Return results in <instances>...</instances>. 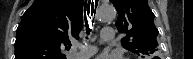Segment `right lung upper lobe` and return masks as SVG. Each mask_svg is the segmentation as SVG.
<instances>
[{
  "label": "right lung upper lobe",
  "instance_id": "obj_1",
  "mask_svg": "<svg viewBox=\"0 0 193 59\" xmlns=\"http://www.w3.org/2000/svg\"><path fill=\"white\" fill-rule=\"evenodd\" d=\"M84 0H35L17 28L15 59H66L61 50L79 38Z\"/></svg>",
  "mask_w": 193,
  "mask_h": 59
}]
</instances>
